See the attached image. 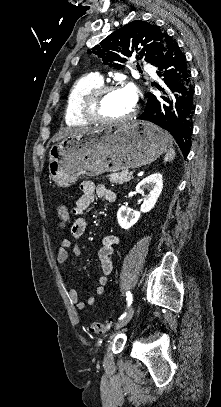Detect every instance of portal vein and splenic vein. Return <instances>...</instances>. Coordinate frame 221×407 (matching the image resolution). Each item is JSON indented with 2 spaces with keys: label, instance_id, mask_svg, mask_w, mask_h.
<instances>
[{
  "label": "portal vein and splenic vein",
  "instance_id": "portal-vein-and-splenic-vein-1",
  "mask_svg": "<svg viewBox=\"0 0 221 407\" xmlns=\"http://www.w3.org/2000/svg\"><path fill=\"white\" fill-rule=\"evenodd\" d=\"M130 175L133 176V172H130Z\"/></svg>",
  "mask_w": 221,
  "mask_h": 407
}]
</instances>
